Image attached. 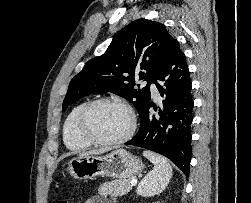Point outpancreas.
I'll return each instance as SVG.
<instances>
[{
  "mask_svg": "<svg viewBox=\"0 0 251 203\" xmlns=\"http://www.w3.org/2000/svg\"><path fill=\"white\" fill-rule=\"evenodd\" d=\"M132 179H118L111 182H105L98 188L99 194L103 196L117 197L122 196L132 189Z\"/></svg>",
  "mask_w": 251,
  "mask_h": 203,
  "instance_id": "pancreas-1",
  "label": "pancreas"
}]
</instances>
